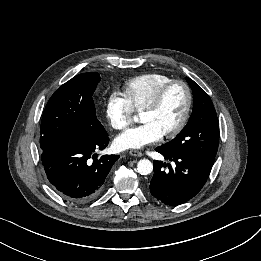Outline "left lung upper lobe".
I'll return each instance as SVG.
<instances>
[{
    "mask_svg": "<svg viewBox=\"0 0 261 261\" xmlns=\"http://www.w3.org/2000/svg\"><path fill=\"white\" fill-rule=\"evenodd\" d=\"M194 94L191 117L183 130L160 147L169 152H184L203 164L212 166L219 144V122L209 96L190 78Z\"/></svg>",
    "mask_w": 261,
    "mask_h": 261,
    "instance_id": "1",
    "label": "left lung upper lobe"
}]
</instances>
